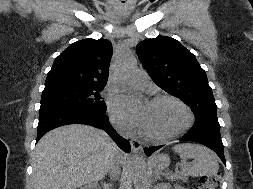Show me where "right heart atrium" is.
I'll return each mask as SVG.
<instances>
[{"label":"right heart atrium","mask_w":253,"mask_h":189,"mask_svg":"<svg viewBox=\"0 0 253 189\" xmlns=\"http://www.w3.org/2000/svg\"><path fill=\"white\" fill-rule=\"evenodd\" d=\"M118 107H121V106H119L115 100L109 101V103H108V109H109V112H110V114H111L112 120H113L115 123H117V121H118L121 125H124V124H122V123L117 119L116 114H115V112H114L115 109L118 108Z\"/></svg>","instance_id":"d8ad5b80"}]
</instances>
